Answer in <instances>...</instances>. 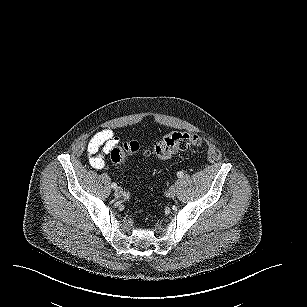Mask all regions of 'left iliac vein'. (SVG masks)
<instances>
[{"mask_svg": "<svg viewBox=\"0 0 307 307\" xmlns=\"http://www.w3.org/2000/svg\"><path fill=\"white\" fill-rule=\"evenodd\" d=\"M176 194H177V189H176V186L173 185L169 188L168 195L171 197H174Z\"/></svg>", "mask_w": 307, "mask_h": 307, "instance_id": "obj_1", "label": "left iliac vein"}]
</instances>
